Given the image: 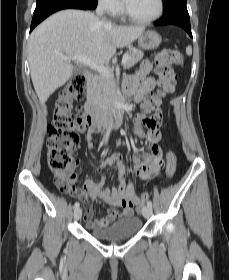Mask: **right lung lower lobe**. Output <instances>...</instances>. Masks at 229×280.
<instances>
[{"label": "right lung lower lobe", "instance_id": "1", "mask_svg": "<svg viewBox=\"0 0 229 280\" xmlns=\"http://www.w3.org/2000/svg\"><path fill=\"white\" fill-rule=\"evenodd\" d=\"M96 6L97 0H37L30 31L49 15L59 10L68 8L91 10Z\"/></svg>", "mask_w": 229, "mask_h": 280}]
</instances>
